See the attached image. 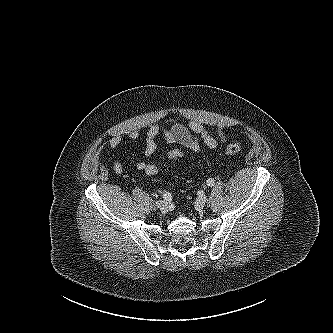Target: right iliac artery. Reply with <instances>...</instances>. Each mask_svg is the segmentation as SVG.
I'll return each instance as SVG.
<instances>
[{"label": "right iliac artery", "mask_w": 333, "mask_h": 333, "mask_svg": "<svg viewBox=\"0 0 333 333\" xmlns=\"http://www.w3.org/2000/svg\"><path fill=\"white\" fill-rule=\"evenodd\" d=\"M163 198H164L166 201H169V202H170L172 196H171L170 193L166 192V193H164Z\"/></svg>", "instance_id": "82829eb1"}]
</instances>
